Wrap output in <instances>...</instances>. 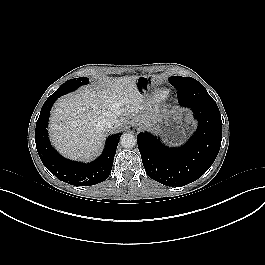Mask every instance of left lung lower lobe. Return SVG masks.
<instances>
[{"mask_svg":"<svg viewBox=\"0 0 265 265\" xmlns=\"http://www.w3.org/2000/svg\"><path fill=\"white\" fill-rule=\"evenodd\" d=\"M180 106L190 108L198 120L195 134L181 147L169 148L147 132L137 136L139 152L147 175L172 187L187 185L200 178L213 164L221 146L222 121L214 100L197 80L172 84Z\"/></svg>","mask_w":265,"mask_h":265,"instance_id":"1","label":"left lung lower lobe"}]
</instances>
